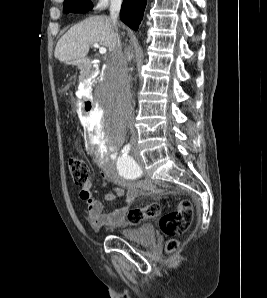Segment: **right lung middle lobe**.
I'll use <instances>...</instances> for the list:
<instances>
[{"mask_svg":"<svg viewBox=\"0 0 267 298\" xmlns=\"http://www.w3.org/2000/svg\"><path fill=\"white\" fill-rule=\"evenodd\" d=\"M92 3L90 0H65L64 1V11L69 12H80L86 13L92 9Z\"/></svg>","mask_w":267,"mask_h":298,"instance_id":"right-lung-middle-lobe-1","label":"right lung middle lobe"}]
</instances>
